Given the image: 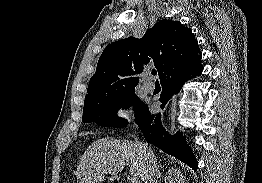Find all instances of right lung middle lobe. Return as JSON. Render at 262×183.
<instances>
[{"mask_svg": "<svg viewBox=\"0 0 262 183\" xmlns=\"http://www.w3.org/2000/svg\"><path fill=\"white\" fill-rule=\"evenodd\" d=\"M145 105L137 97L133 89L84 104L82 121L83 123L95 122L100 126L123 127L128 122L117 116V110L134 106L136 118Z\"/></svg>", "mask_w": 262, "mask_h": 183, "instance_id": "obj_1", "label": "right lung middle lobe"}]
</instances>
